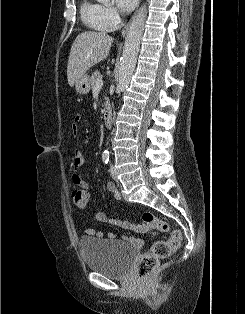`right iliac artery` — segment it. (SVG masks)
Listing matches in <instances>:
<instances>
[{
  "label": "right iliac artery",
  "mask_w": 245,
  "mask_h": 314,
  "mask_svg": "<svg viewBox=\"0 0 245 314\" xmlns=\"http://www.w3.org/2000/svg\"><path fill=\"white\" fill-rule=\"evenodd\" d=\"M109 159H110L109 153H103V154H102V160H103V162H104L105 164H108Z\"/></svg>",
  "instance_id": "82829eb1"
}]
</instances>
